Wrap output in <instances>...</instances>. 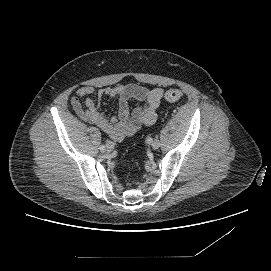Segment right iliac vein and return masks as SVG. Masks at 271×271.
I'll return each mask as SVG.
<instances>
[{
    "mask_svg": "<svg viewBox=\"0 0 271 271\" xmlns=\"http://www.w3.org/2000/svg\"><path fill=\"white\" fill-rule=\"evenodd\" d=\"M106 149H107V151H112L114 149V143L111 141H108L106 143Z\"/></svg>",
    "mask_w": 271,
    "mask_h": 271,
    "instance_id": "1",
    "label": "right iliac vein"
}]
</instances>
